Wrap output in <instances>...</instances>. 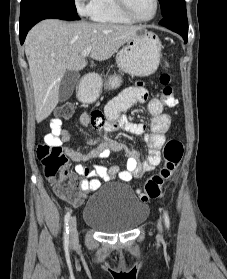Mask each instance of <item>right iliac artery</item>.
Here are the masks:
<instances>
[{
	"label": "right iliac artery",
	"instance_id": "82829eb1",
	"mask_svg": "<svg viewBox=\"0 0 227 279\" xmlns=\"http://www.w3.org/2000/svg\"><path fill=\"white\" fill-rule=\"evenodd\" d=\"M69 221H70V212H67L64 217V246L65 248L69 245Z\"/></svg>",
	"mask_w": 227,
	"mask_h": 279
}]
</instances>
